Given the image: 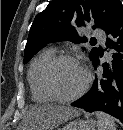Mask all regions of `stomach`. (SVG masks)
<instances>
[{
	"mask_svg": "<svg viewBox=\"0 0 123 130\" xmlns=\"http://www.w3.org/2000/svg\"><path fill=\"white\" fill-rule=\"evenodd\" d=\"M95 126L96 122L94 120H74L59 130H94Z\"/></svg>",
	"mask_w": 123,
	"mask_h": 130,
	"instance_id": "stomach-1",
	"label": "stomach"
}]
</instances>
